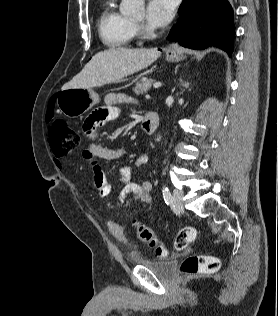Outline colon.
<instances>
[{"instance_id": "obj_1", "label": "colon", "mask_w": 278, "mask_h": 316, "mask_svg": "<svg viewBox=\"0 0 278 316\" xmlns=\"http://www.w3.org/2000/svg\"><path fill=\"white\" fill-rule=\"evenodd\" d=\"M49 143L55 156H64L76 150L81 143L79 132L71 128L65 121L57 120L53 122L49 129ZM138 238L147 243L155 250L158 257H165L167 250L159 241L154 231L141 222L134 223ZM197 236V231L193 227L182 228L174 241L176 250H183ZM219 260L208 255L197 254L186 258L180 268L184 276H195L203 273H212L219 269Z\"/></svg>"}]
</instances>
